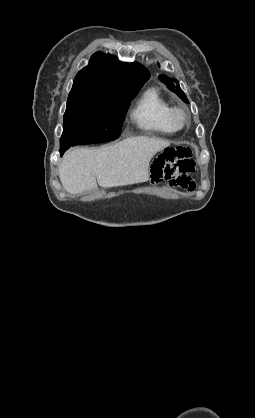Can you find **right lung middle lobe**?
Wrapping results in <instances>:
<instances>
[{
	"label": "right lung middle lobe",
	"mask_w": 255,
	"mask_h": 418,
	"mask_svg": "<svg viewBox=\"0 0 255 418\" xmlns=\"http://www.w3.org/2000/svg\"><path fill=\"white\" fill-rule=\"evenodd\" d=\"M138 91L139 89L126 92H70L60 146L70 147L117 139L130 101Z\"/></svg>",
	"instance_id": "right-lung-middle-lobe-1"
}]
</instances>
